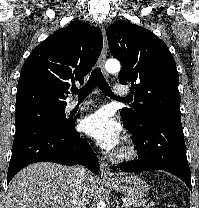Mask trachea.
I'll use <instances>...</instances> for the list:
<instances>
[{"label":"trachea","mask_w":199,"mask_h":208,"mask_svg":"<svg viewBox=\"0 0 199 208\" xmlns=\"http://www.w3.org/2000/svg\"><path fill=\"white\" fill-rule=\"evenodd\" d=\"M96 86H98V88L109 97H112L114 99H118L121 101H128L127 98H117L113 94L109 84L106 82L101 72V69L98 67L93 69L91 76L89 80L87 81V83L81 89L74 90L73 92L78 95L79 99H84L92 92V90Z\"/></svg>","instance_id":"1"}]
</instances>
